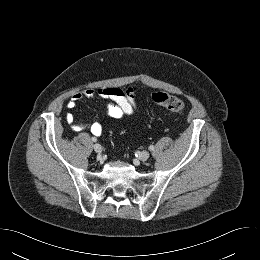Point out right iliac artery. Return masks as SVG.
Returning <instances> with one entry per match:
<instances>
[{"mask_svg":"<svg viewBox=\"0 0 260 260\" xmlns=\"http://www.w3.org/2000/svg\"><path fill=\"white\" fill-rule=\"evenodd\" d=\"M96 140H97V139H96L95 137H92V141H93V142H96Z\"/></svg>","mask_w":260,"mask_h":260,"instance_id":"82829eb1","label":"right iliac artery"}]
</instances>
